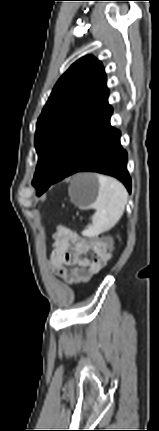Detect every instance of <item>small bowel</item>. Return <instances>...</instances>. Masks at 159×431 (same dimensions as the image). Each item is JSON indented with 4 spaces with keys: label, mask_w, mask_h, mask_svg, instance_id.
Here are the masks:
<instances>
[{
    "label": "small bowel",
    "mask_w": 159,
    "mask_h": 431,
    "mask_svg": "<svg viewBox=\"0 0 159 431\" xmlns=\"http://www.w3.org/2000/svg\"><path fill=\"white\" fill-rule=\"evenodd\" d=\"M53 239L52 268L70 285L89 281L111 260V250L104 240L89 241L66 227H59ZM85 253H91L92 257H82Z\"/></svg>",
    "instance_id": "small-bowel-1"
}]
</instances>
